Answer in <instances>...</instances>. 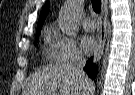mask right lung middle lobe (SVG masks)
<instances>
[{
    "mask_svg": "<svg viewBox=\"0 0 135 95\" xmlns=\"http://www.w3.org/2000/svg\"><path fill=\"white\" fill-rule=\"evenodd\" d=\"M39 35H40V32L36 33V43H37V39H38Z\"/></svg>",
    "mask_w": 135,
    "mask_h": 95,
    "instance_id": "dd1d6c3e",
    "label": "right lung middle lobe"
}]
</instances>
